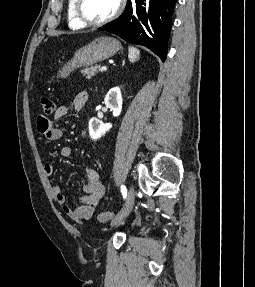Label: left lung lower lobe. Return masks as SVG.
Here are the masks:
<instances>
[{"label":"left lung lower lobe","instance_id":"obj_1","mask_svg":"<svg viewBox=\"0 0 255 287\" xmlns=\"http://www.w3.org/2000/svg\"><path fill=\"white\" fill-rule=\"evenodd\" d=\"M176 1L128 0L124 13L99 30L116 34L129 43L146 46L165 61Z\"/></svg>","mask_w":255,"mask_h":287}]
</instances>
